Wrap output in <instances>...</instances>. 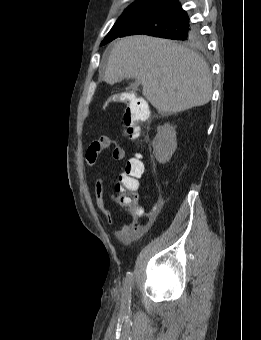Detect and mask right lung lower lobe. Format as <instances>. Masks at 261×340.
Listing matches in <instances>:
<instances>
[{
    "instance_id": "98d812e1",
    "label": "right lung lower lobe",
    "mask_w": 261,
    "mask_h": 340,
    "mask_svg": "<svg viewBox=\"0 0 261 340\" xmlns=\"http://www.w3.org/2000/svg\"><path fill=\"white\" fill-rule=\"evenodd\" d=\"M192 25L187 12L182 9L178 0H162L119 37L147 34L171 39L174 34L186 31Z\"/></svg>"
}]
</instances>
